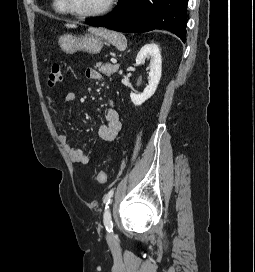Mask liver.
<instances>
[{
	"label": "liver",
	"mask_w": 255,
	"mask_h": 272,
	"mask_svg": "<svg viewBox=\"0 0 255 272\" xmlns=\"http://www.w3.org/2000/svg\"><path fill=\"white\" fill-rule=\"evenodd\" d=\"M66 27H68V28H76V25L75 24H66Z\"/></svg>",
	"instance_id": "6515ba94"
}]
</instances>
